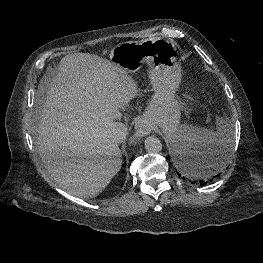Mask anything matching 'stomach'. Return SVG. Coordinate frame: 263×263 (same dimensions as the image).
Wrapping results in <instances>:
<instances>
[{
  "label": "stomach",
  "mask_w": 263,
  "mask_h": 263,
  "mask_svg": "<svg viewBox=\"0 0 263 263\" xmlns=\"http://www.w3.org/2000/svg\"><path fill=\"white\" fill-rule=\"evenodd\" d=\"M110 61L130 74L148 65L154 93L143 119L172 138L184 108L176 94L182 77L177 44L162 38L123 42L111 50Z\"/></svg>",
  "instance_id": "0dacf381"
}]
</instances>
